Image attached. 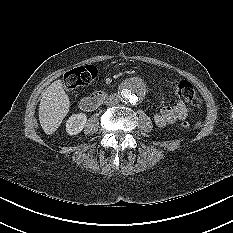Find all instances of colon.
Masks as SVG:
<instances>
[{
	"instance_id": "5ec220e1",
	"label": "colon",
	"mask_w": 233,
	"mask_h": 233,
	"mask_svg": "<svg viewBox=\"0 0 233 233\" xmlns=\"http://www.w3.org/2000/svg\"><path fill=\"white\" fill-rule=\"evenodd\" d=\"M97 76V69L95 66L87 65L80 66L73 70L68 71L64 75V86L67 90L71 91L78 87L89 85ZM174 93L186 103L192 106H199L201 104L200 97L196 93L193 85L187 80L174 81L172 84ZM181 128L188 130L191 127L190 122L183 120Z\"/></svg>"
}]
</instances>
